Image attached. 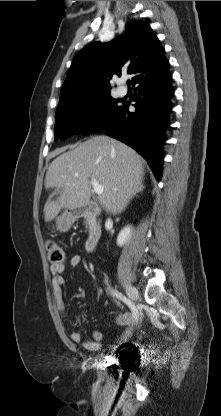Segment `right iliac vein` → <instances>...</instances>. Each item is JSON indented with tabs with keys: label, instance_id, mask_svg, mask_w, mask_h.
<instances>
[{
	"label": "right iliac vein",
	"instance_id": "right-iliac-vein-1",
	"mask_svg": "<svg viewBox=\"0 0 221 416\" xmlns=\"http://www.w3.org/2000/svg\"><path fill=\"white\" fill-rule=\"evenodd\" d=\"M126 293L132 302L136 301L139 295L138 290L129 284L126 285Z\"/></svg>",
	"mask_w": 221,
	"mask_h": 416
}]
</instances>
